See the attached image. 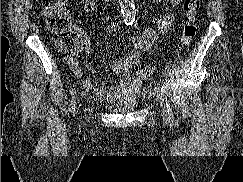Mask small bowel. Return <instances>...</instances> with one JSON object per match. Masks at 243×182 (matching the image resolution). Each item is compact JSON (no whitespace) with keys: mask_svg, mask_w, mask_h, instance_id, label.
<instances>
[{"mask_svg":"<svg viewBox=\"0 0 243 182\" xmlns=\"http://www.w3.org/2000/svg\"><path fill=\"white\" fill-rule=\"evenodd\" d=\"M162 0H152L153 4L160 3ZM172 6H178L182 0H166ZM95 7V0H86L83 5L84 11H91ZM175 17L171 12H167L158 21V30L155 31L151 28L144 29L141 34L133 38L132 45L129 49L125 50L121 56L111 62V68L113 72L120 73V86L113 90H107L100 88L90 77H84L83 71L79 67L75 57L68 60V65L73 74L81 81L83 88L92 92L98 99L115 102L118 99L130 97L139 93L141 89V80L139 77H131V70L134 65H137L141 60V54L148 51L157 40L158 35L167 34L174 23ZM118 23H111L107 30L109 33H113L117 30ZM77 51L84 53L86 57V68L93 72V66L87 60L90 53V40L84 35L80 34L77 42Z\"/></svg>","mask_w":243,"mask_h":182,"instance_id":"c3829d8e","label":"small bowel"}]
</instances>
